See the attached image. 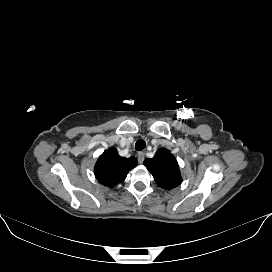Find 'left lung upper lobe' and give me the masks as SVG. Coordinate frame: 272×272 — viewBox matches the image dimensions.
Here are the masks:
<instances>
[{
    "label": "left lung upper lobe",
    "instance_id": "1",
    "mask_svg": "<svg viewBox=\"0 0 272 272\" xmlns=\"http://www.w3.org/2000/svg\"><path fill=\"white\" fill-rule=\"evenodd\" d=\"M143 164L151 172L158 186L166 190L182 183L178 163L167 149H159L153 158L145 159Z\"/></svg>",
    "mask_w": 272,
    "mask_h": 272
}]
</instances>
